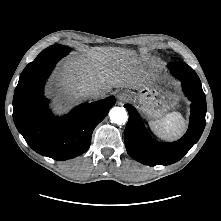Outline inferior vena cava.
I'll return each mask as SVG.
<instances>
[{"label":"inferior vena cava","instance_id":"602c4592","mask_svg":"<svg viewBox=\"0 0 221 221\" xmlns=\"http://www.w3.org/2000/svg\"><path fill=\"white\" fill-rule=\"evenodd\" d=\"M82 95L87 99H97L101 97L102 91L97 87H87L82 90Z\"/></svg>","mask_w":221,"mask_h":221}]
</instances>
